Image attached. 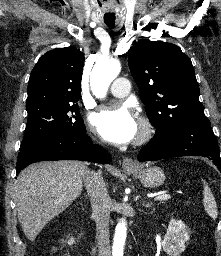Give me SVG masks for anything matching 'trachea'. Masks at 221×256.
I'll list each match as a JSON object with an SVG mask.
<instances>
[{
	"mask_svg": "<svg viewBox=\"0 0 221 256\" xmlns=\"http://www.w3.org/2000/svg\"><path fill=\"white\" fill-rule=\"evenodd\" d=\"M106 25L109 26V27H113V26H114V22H112V23H106Z\"/></svg>",
	"mask_w": 221,
	"mask_h": 256,
	"instance_id": "3493384b",
	"label": "trachea"
}]
</instances>
